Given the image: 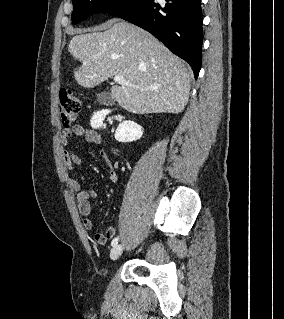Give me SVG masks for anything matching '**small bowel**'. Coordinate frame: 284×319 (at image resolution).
<instances>
[{
  "mask_svg": "<svg viewBox=\"0 0 284 319\" xmlns=\"http://www.w3.org/2000/svg\"><path fill=\"white\" fill-rule=\"evenodd\" d=\"M72 136L83 137L87 142L100 144L102 142V136L95 130L86 129L81 125H74L71 128L63 130L61 142L63 145H67L69 138ZM100 155L109 160L105 151L101 150ZM64 163L68 169L72 170L76 166H80L83 163L82 157L74 152H64ZM109 179L111 182L118 180V175L114 170L109 173ZM70 186L76 192L77 207L80 214L83 216L82 224L86 230L93 228V222L89 217L92 211L91 199L96 196V192L92 189H82L81 183L77 179H70ZM116 234V230L113 227L108 228L104 233L96 232L93 236L94 241L97 244H104L107 240L113 238Z\"/></svg>",
  "mask_w": 284,
  "mask_h": 319,
  "instance_id": "1",
  "label": "small bowel"
}]
</instances>
